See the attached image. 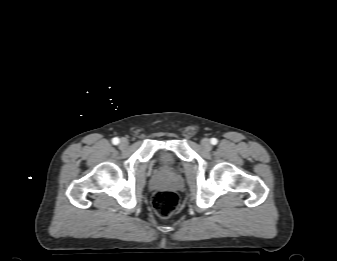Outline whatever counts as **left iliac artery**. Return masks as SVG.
I'll use <instances>...</instances> for the list:
<instances>
[{"label": "left iliac artery", "instance_id": "left-iliac-artery-1", "mask_svg": "<svg viewBox=\"0 0 337 261\" xmlns=\"http://www.w3.org/2000/svg\"><path fill=\"white\" fill-rule=\"evenodd\" d=\"M211 144L216 145L218 140L216 138H211Z\"/></svg>", "mask_w": 337, "mask_h": 261}]
</instances>
